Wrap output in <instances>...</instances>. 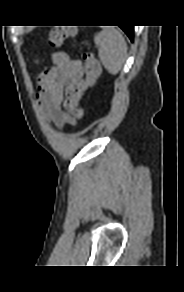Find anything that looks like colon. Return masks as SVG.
<instances>
[{
    "label": "colon",
    "mask_w": 184,
    "mask_h": 292,
    "mask_svg": "<svg viewBox=\"0 0 184 292\" xmlns=\"http://www.w3.org/2000/svg\"><path fill=\"white\" fill-rule=\"evenodd\" d=\"M77 34L75 25L54 27L49 33V42L52 46L61 45L67 38ZM85 61V77L69 85L66 89L64 106L75 118L84 116V109L79 106L84 93L93 88L101 74V66L92 52L83 55Z\"/></svg>",
    "instance_id": "1"
}]
</instances>
